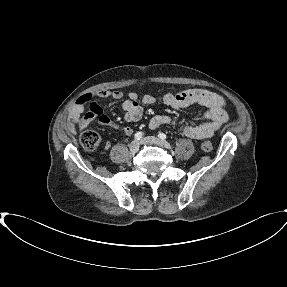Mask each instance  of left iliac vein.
<instances>
[{
  "label": "left iliac vein",
  "instance_id": "1",
  "mask_svg": "<svg viewBox=\"0 0 287 287\" xmlns=\"http://www.w3.org/2000/svg\"><path fill=\"white\" fill-rule=\"evenodd\" d=\"M141 143L155 144L164 148H170V144L167 141L161 140L155 136H148L141 140Z\"/></svg>",
  "mask_w": 287,
  "mask_h": 287
}]
</instances>
